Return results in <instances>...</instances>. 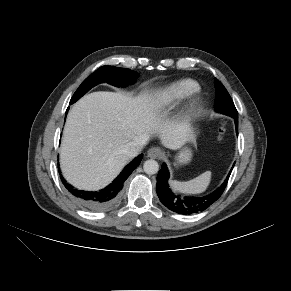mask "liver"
I'll return each mask as SVG.
<instances>
[{
  "instance_id": "1",
  "label": "liver",
  "mask_w": 291,
  "mask_h": 291,
  "mask_svg": "<svg viewBox=\"0 0 291 291\" xmlns=\"http://www.w3.org/2000/svg\"><path fill=\"white\" fill-rule=\"evenodd\" d=\"M160 97L120 92H93L70 110L63 132L60 164L64 177L79 189L97 190L109 184L129 162L124 146L157 135L176 150L189 140L185 122L161 118Z\"/></svg>"
}]
</instances>
